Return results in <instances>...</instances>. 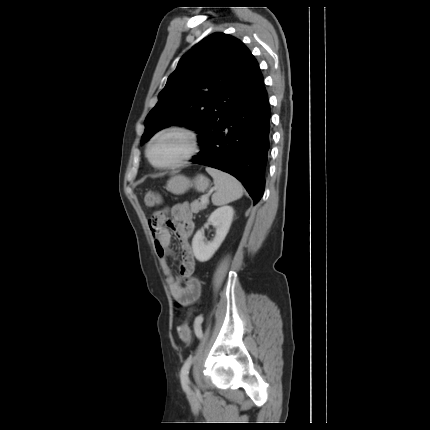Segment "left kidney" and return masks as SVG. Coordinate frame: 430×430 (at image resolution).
Instances as JSON below:
<instances>
[{
  "label": "left kidney",
  "instance_id": "left-kidney-1",
  "mask_svg": "<svg viewBox=\"0 0 430 430\" xmlns=\"http://www.w3.org/2000/svg\"><path fill=\"white\" fill-rule=\"evenodd\" d=\"M234 210L231 206L217 208L210 215V222L216 229L215 237L208 241L202 230H198L192 240V249L200 262L208 261L224 241L233 220Z\"/></svg>",
  "mask_w": 430,
  "mask_h": 430
}]
</instances>
